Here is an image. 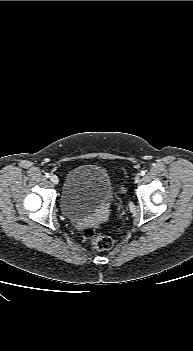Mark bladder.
Returning <instances> with one entry per match:
<instances>
[{
    "instance_id": "bladder-1",
    "label": "bladder",
    "mask_w": 193,
    "mask_h": 351,
    "mask_svg": "<svg viewBox=\"0 0 193 351\" xmlns=\"http://www.w3.org/2000/svg\"><path fill=\"white\" fill-rule=\"evenodd\" d=\"M116 190L107 170L99 165L84 164L66 176L60 205L71 220L93 217L114 202Z\"/></svg>"
}]
</instances>
